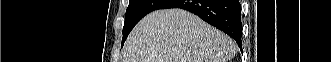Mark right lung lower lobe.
Here are the masks:
<instances>
[{
  "mask_svg": "<svg viewBox=\"0 0 331 62\" xmlns=\"http://www.w3.org/2000/svg\"><path fill=\"white\" fill-rule=\"evenodd\" d=\"M181 8L231 36L242 49L241 4L238 0H171L163 9Z\"/></svg>",
  "mask_w": 331,
  "mask_h": 62,
  "instance_id": "98d812e1",
  "label": "right lung lower lobe"
}]
</instances>
